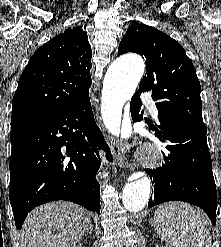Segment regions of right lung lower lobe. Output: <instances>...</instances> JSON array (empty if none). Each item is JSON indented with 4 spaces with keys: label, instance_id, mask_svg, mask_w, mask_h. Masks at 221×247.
<instances>
[{
    "label": "right lung lower lobe",
    "instance_id": "1",
    "mask_svg": "<svg viewBox=\"0 0 221 247\" xmlns=\"http://www.w3.org/2000/svg\"><path fill=\"white\" fill-rule=\"evenodd\" d=\"M10 190L15 224L53 200H68L100 214L98 150L110 149L96 125L90 98L73 108L11 122Z\"/></svg>",
    "mask_w": 221,
    "mask_h": 247
}]
</instances>
